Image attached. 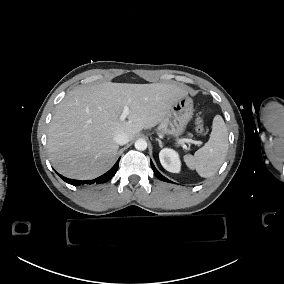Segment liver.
Wrapping results in <instances>:
<instances>
[{"label": "liver", "instance_id": "1", "mask_svg": "<svg viewBox=\"0 0 284 284\" xmlns=\"http://www.w3.org/2000/svg\"><path fill=\"white\" fill-rule=\"evenodd\" d=\"M187 90L177 84L112 83L81 86L57 105L48 130V152L54 168L73 179H93L110 168L118 144L116 133L129 140L160 123ZM128 121L119 119L123 107Z\"/></svg>", "mask_w": 284, "mask_h": 284}]
</instances>
